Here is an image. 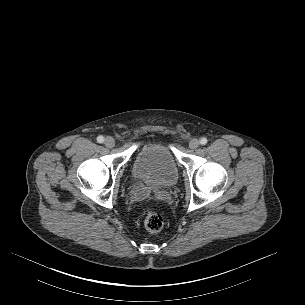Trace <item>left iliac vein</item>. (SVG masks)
<instances>
[{
  "mask_svg": "<svg viewBox=\"0 0 305 305\" xmlns=\"http://www.w3.org/2000/svg\"><path fill=\"white\" fill-rule=\"evenodd\" d=\"M199 144H200L199 140L196 139V138H193V139H191L190 142H189V147H190L191 149H196V148L199 146Z\"/></svg>",
  "mask_w": 305,
  "mask_h": 305,
  "instance_id": "obj_1",
  "label": "left iliac vein"
}]
</instances>
